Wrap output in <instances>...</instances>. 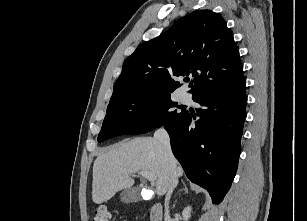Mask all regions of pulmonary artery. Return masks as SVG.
<instances>
[{"label":"pulmonary artery","instance_id":"e3ab8cb5","mask_svg":"<svg viewBox=\"0 0 307 221\" xmlns=\"http://www.w3.org/2000/svg\"><path fill=\"white\" fill-rule=\"evenodd\" d=\"M189 99H190L189 94H187V93H185V92L181 93V95H180V100H181L182 102H188Z\"/></svg>","mask_w":307,"mask_h":221}]
</instances>
